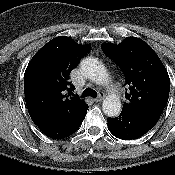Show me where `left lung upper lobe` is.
<instances>
[{"label": "left lung upper lobe", "instance_id": "5c2ea615", "mask_svg": "<svg viewBox=\"0 0 175 175\" xmlns=\"http://www.w3.org/2000/svg\"><path fill=\"white\" fill-rule=\"evenodd\" d=\"M102 49L125 74L128 91L126 89L127 101L122 110L165 108L170 78L160 58L146 42L127 37L119 45L105 43Z\"/></svg>", "mask_w": 175, "mask_h": 175}]
</instances>
